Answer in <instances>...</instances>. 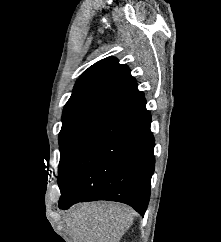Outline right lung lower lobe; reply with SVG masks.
I'll use <instances>...</instances> for the list:
<instances>
[{
  "label": "right lung lower lobe",
  "instance_id": "right-lung-lower-lobe-1",
  "mask_svg": "<svg viewBox=\"0 0 221 242\" xmlns=\"http://www.w3.org/2000/svg\"><path fill=\"white\" fill-rule=\"evenodd\" d=\"M144 96L100 124L70 158L58 180L59 208L110 200L144 216L154 172V137Z\"/></svg>",
  "mask_w": 221,
  "mask_h": 242
}]
</instances>
